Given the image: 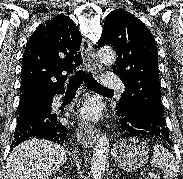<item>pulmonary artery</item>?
Returning <instances> with one entry per match:
<instances>
[{
	"label": "pulmonary artery",
	"instance_id": "obj_1",
	"mask_svg": "<svg viewBox=\"0 0 183 179\" xmlns=\"http://www.w3.org/2000/svg\"><path fill=\"white\" fill-rule=\"evenodd\" d=\"M102 84L103 86L108 88H116L121 92L125 90V86L123 85L121 80L112 73H106L105 75H103Z\"/></svg>",
	"mask_w": 183,
	"mask_h": 179
}]
</instances>
